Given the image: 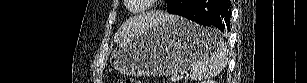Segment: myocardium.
Returning a JSON list of instances; mask_svg holds the SVG:
<instances>
[{
  "label": "myocardium",
  "mask_w": 307,
  "mask_h": 83,
  "mask_svg": "<svg viewBox=\"0 0 307 83\" xmlns=\"http://www.w3.org/2000/svg\"><path fill=\"white\" fill-rule=\"evenodd\" d=\"M127 1L129 2L130 0H127ZM128 9H129V11L134 12V13H138V12H141L143 10L142 7L133 8L132 6H129Z\"/></svg>",
  "instance_id": "obj_1"
}]
</instances>
